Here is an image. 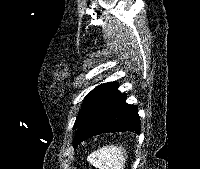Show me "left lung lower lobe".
I'll return each mask as SVG.
<instances>
[{"label":"left lung lower lobe","mask_w":200,"mask_h":169,"mask_svg":"<svg viewBox=\"0 0 200 169\" xmlns=\"http://www.w3.org/2000/svg\"><path fill=\"white\" fill-rule=\"evenodd\" d=\"M126 94L113 91L97 102L77 127L73 145L106 132L140 133L138 107L125 102Z\"/></svg>","instance_id":"obj_1"}]
</instances>
